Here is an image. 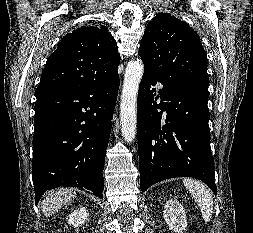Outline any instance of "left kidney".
<instances>
[{"label":"left kidney","instance_id":"obj_1","mask_svg":"<svg viewBox=\"0 0 253 233\" xmlns=\"http://www.w3.org/2000/svg\"><path fill=\"white\" fill-rule=\"evenodd\" d=\"M164 220L170 230L175 233H183L187 226L186 212L180 202L171 199L166 202L163 211Z\"/></svg>","mask_w":253,"mask_h":233}]
</instances>
